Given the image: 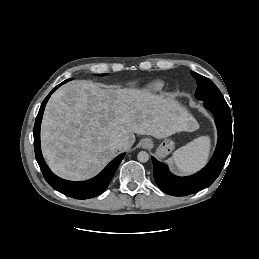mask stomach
Masks as SVG:
<instances>
[{"instance_id": "obj_1", "label": "stomach", "mask_w": 259, "mask_h": 259, "mask_svg": "<svg viewBox=\"0 0 259 259\" xmlns=\"http://www.w3.org/2000/svg\"><path fill=\"white\" fill-rule=\"evenodd\" d=\"M174 146L175 144L171 139H164L163 142L157 148L156 155L159 158H163L174 149Z\"/></svg>"}]
</instances>
